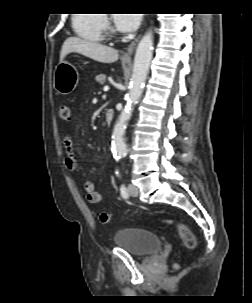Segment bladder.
I'll return each mask as SVG.
<instances>
[{
    "mask_svg": "<svg viewBox=\"0 0 252 303\" xmlns=\"http://www.w3.org/2000/svg\"><path fill=\"white\" fill-rule=\"evenodd\" d=\"M113 242L138 257H149L162 247L161 238L157 234L138 228L119 230L114 235Z\"/></svg>",
    "mask_w": 252,
    "mask_h": 303,
    "instance_id": "31cf9c89",
    "label": "bladder"
}]
</instances>
